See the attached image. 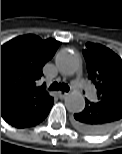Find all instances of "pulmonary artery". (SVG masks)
<instances>
[{
	"label": "pulmonary artery",
	"instance_id": "1",
	"mask_svg": "<svg viewBox=\"0 0 122 154\" xmlns=\"http://www.w3.org/2000/svg\"><path fill=\"white\" fill-rule=\"evenodd\" d=\"M73 85L76 89H78L80 92L84 93L86 97H89L92 93L91 88H89L84 79L81 76H77L76 79L73 82Z\"/></svg>",
	"mask_w": 122,
	"mask_h": 154
}]
</instances>
